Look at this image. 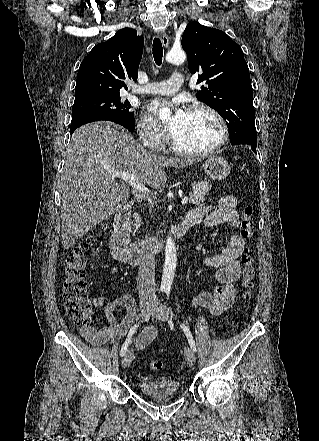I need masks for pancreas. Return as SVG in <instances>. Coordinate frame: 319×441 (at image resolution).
Returning <instances> with one entry per match:
<instances>
[{"instance_id": "pancreas-1", "label": "pancreas", "mask_w": 319, "mask_h": 441, "mask_svg": "<svg viewBox=\"0 0 319 441\" xmlns=\"http://www.w3.org/2000/svg\"><path fill=\"white\" fill-rule=\"evenodd\" d=\"M211 185L209 181H201V182H194L192 183V189L195 191L193 193H190L189 203L198 205L200 203H203L208 195V191L210 190ZM135 218V227L140 226V217L137 213L134 214Z\"/></svg>"}]
</instances>
